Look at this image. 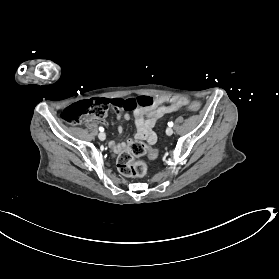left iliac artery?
Instances as JSON below:
<instances>
[{"instance_id":"obj_1","label":"left iliac artery","mask_w":279,"mask_h":279,"mask_svg":"<svg viewBox=\"0 0 279 279\" xmlns=\"http://www.w3.org/2000/svg\"><path fill=\"white\" fill-rule=\"evenodd\" d=\"M168 126H169V127H172V126H173V122H169V123H168Z\"/></svg>"}]
</instances>
